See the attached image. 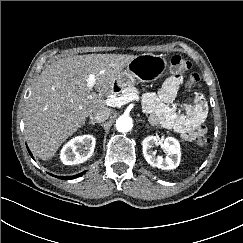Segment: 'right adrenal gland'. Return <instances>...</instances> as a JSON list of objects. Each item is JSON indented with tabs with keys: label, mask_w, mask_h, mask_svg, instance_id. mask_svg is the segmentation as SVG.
<instances>
[{
	"label": "right adrenal gland",
	"mask_w": 243,
	"mask_h": 243,
	"mask_svg": "<svg viewBox=\"0 0 243 243\" xmlns=\"http://www.w3.org/2000/svg\"><path fill=\"white\" fill-rule=\"evenodd\" d=\"M88 124H91V125H95V122H92V121H89V122H87Z\"/></svg>",
	"instance_id": "2a0ac1e0"
}]
</instances>
